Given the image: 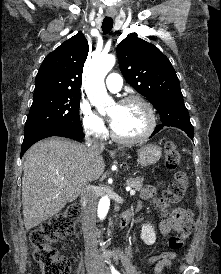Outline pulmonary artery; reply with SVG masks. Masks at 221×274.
I'll use <instances>...</instances> for the list:
<instances>
[{
	"instance_id": "1",
	"label": "pulmonary artery",
	"mask_w": 221,
	"mask_h": 274,
	"mask_svg": "<svg viewBox=\"0 0 221 274\" xmlns=\"http://www.w3.org/2000/svg\"><path fill=\"white\" fill-rule=\"evenodd\" d=\"M106 86L112 92L120 91L122 87V78L117 73H111L106 79Z\"/></svg>"
}]
</instances>
